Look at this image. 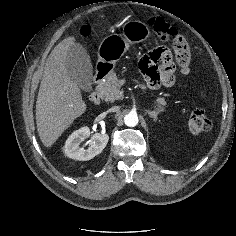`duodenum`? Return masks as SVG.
I'll use <instances>...</instances> for the list:
<instances>
[{"label": "duodenum", "mask_w": 236, "mask_h": 236, "mask_svg": "<svg viewBox=\"0 0 236 236\" xmlns=\"http://www.w3.org/2000/svg\"><path fill=\"white\" fill-rule=\"evenodd\" d=\"M109 68L106 65H102L98 68L94 79H93V90L90 93V100L98 104L100 102V95L98 93V87L101 84L103 78L105 77L106 73L108 72Z\"/></svg>", "instance_id": "obj_1"}]
</instances>
